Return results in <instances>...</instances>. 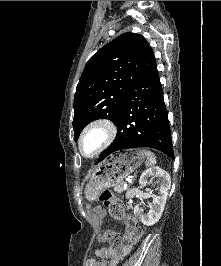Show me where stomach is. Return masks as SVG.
Segmentation results:
<instances>
[{
  "mask_svg": "<svg viewBox=\"0 0 221 266\" xmlns=\"http://www.w3.org/2000/svg\"><path fill=\"white\" fill-rule=\"evenodd\" d=\"M145 159L141 150L121 151L98 164L85 187V196L94 201L107 188L117 185L137 169Z\"/></svg>",
  "mask_w": 221,
  "mask_h": 266,
  "instance_id": "stomach-1",
  "label": "stomach"
}]
</instances>
